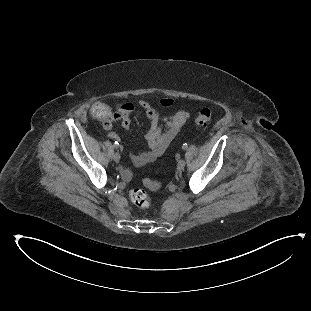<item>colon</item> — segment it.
Segmentation results:
<instances>
[{"instance_id": "5ec220e1", "label": "colon", "mask_w": 311, "mask_h": 311, "mask_svg": "<svg viewBox=\"0 0 311 311\" xmlns=\"http://www.w3.org/2000/svg\"><path fill=\"white\" fill-rule=\"evenodd\" d=\"M90 115L98 121H102L105 125L109 124L113 118V112L111 108L102 102H95L90 107ZM212 112L208 108H203L198 111L195 118V125L199 128L207 127L212 120ZM144 185L152 190H158L162 187V183L159 181L145 180ZM130 198L132 202L140 209H146L149 207V196L142 190L134 188L130 191Z\"/></svg>"}]
</instances>
